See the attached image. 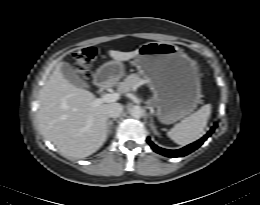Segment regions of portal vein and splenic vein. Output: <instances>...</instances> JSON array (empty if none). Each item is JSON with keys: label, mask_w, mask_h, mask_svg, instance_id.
I'll list each match as a JSON object with an SVG mask.
<instances>
[{"label": "portal vein and splenic vein", "mask_w": 260, "mask_h": 205, "mask_svg": "<svg viewBox=\"0 0 260 205\" xmlns=\"http://www.w3.org/2000/svg\"><path fill=\"white\" fill-rule=\"evenodd\" d=\"M120 94L119 93H107L104 94L101 98H97L92 102V107H97L102 103H111L119 100Z\"/></svg>", "instance_id": "1"}]
</instances>
